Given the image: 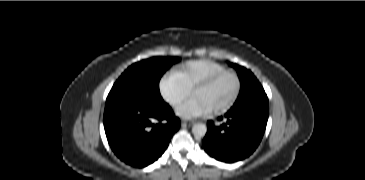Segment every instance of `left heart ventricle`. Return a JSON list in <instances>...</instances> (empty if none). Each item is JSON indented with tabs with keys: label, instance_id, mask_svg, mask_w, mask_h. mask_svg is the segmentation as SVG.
Returning <instances> with one entry per match:
<instances>
[{
	"label": "left heart ventricle",
	"instance_id": "1",
	"mask_svg": "<svg viewBox=\"0 0 365 180\" xmlns=\"http://www.w3.org/2000/svg\"><path fill=\"white\" fill-rule=\"evenodd\" d=\"M236 89V81L229 75L222 78L216 84L207 87L198 93L199 99L211 108L225 104L233 95Z\"/></svg>",
	"mask_w": 365,
	"mask_h": 180
}]
</instances>
